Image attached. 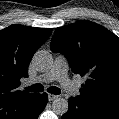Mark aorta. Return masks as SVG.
<instances>
[{
	"mask_svg": "<svg viewBox=\"0 0 119 119\" xmlns=\"http://www.w3.org/2000/svg\"><path fill=\"white\" fill-rule=\"evenodd\" d=\"M32 63L37 71L45 72L52 67L53 57L48 51L40 50L34 54ZM68 108V101L65 98L59 97L52 102V110L57 115L65 114Z\"/></svg>",
	"mask_w": 119,
	"mask_h": 119,
	"instance_id": "aorta-1",
	"label": "aorta"
}]
</instances>
